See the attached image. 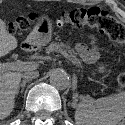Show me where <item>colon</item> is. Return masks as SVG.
Returning a JSON list of instances; mask_svg holds the SVG:
<instances>
[{"label":"colon","mask_w":125,"mask_h":125,"mask_svg":"<svg viewBox=\"0 0 125 125\" xmlns=\"http://www.w3.org/2000/svg\"><path fill=\"white\" fill-rule=\"evenodd\" d=\"M58 25H71L75 28L89 26L107 34L113 41L125 45V25L118 22L110 14L98 7L90 9L76 8L63 11L57 17ZM31 27V21L27 17H17L7 24L11 33L27 31ZM120 86L125 87V70L117 77Z\"/></svg>","instance_id":"colon-1"}]
</instances>
